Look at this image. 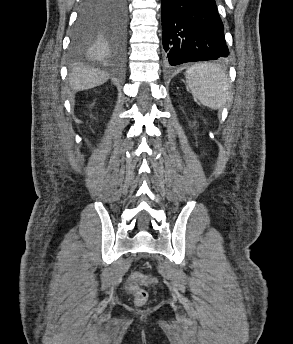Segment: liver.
<instances>
[{
    "label": "liver",
    "mask_w": 293,
    "mask_h": 344,
    "mask_svg": "<svg viewBox=\"0 0 293 344\" xmlns=\"http://www.w3.org/2000/svg\"><path fill=\"white\" fill-rule=\"evenodd\" d=\"M108 79L109 75L100 69L78 66L69 74V86L74 91H82L99 86Z\"/></svg>",
    "instance_id": "6515ba94"
}]
</instances>
